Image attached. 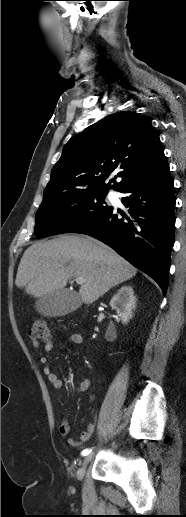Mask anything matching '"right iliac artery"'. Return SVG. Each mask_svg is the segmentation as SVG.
Wrapping results in <instances>:
<instances>
[{
    "instance_id": "82829eb1",
    "label": "right iliac artery",
    "mask_w": 186,
    "mask_h": 517,
    "mask_svg": "<svg viewBox=\"0 0 186 517\" xmlns=\"http://www.w3.org/2000/svg\"><path fill=\"white\" fill-rule=\"evenodd\" d=\"M91 451H92V449L86 448V449H84V450L81 452V455H82V456H86V455H88Z\"/></svg>"
}]
</instances>
